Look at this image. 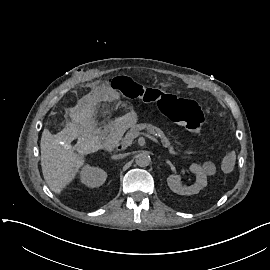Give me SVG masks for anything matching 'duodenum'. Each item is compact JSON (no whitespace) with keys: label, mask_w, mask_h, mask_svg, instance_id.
Masks as SVG:
<instances>
[{"label":"duodenum","mask_w":270,"mask_h":270,"mask_svg":"<svg viewBox=\"0 0 270 270\" xmlns=\"http://www.w3.org/2000/svg\"><path fill=\"white\" fill-rule=\"evenodd\" d=\"M125 126L124 121L117 120L107 127L104 134V147L106 150H113L118 145L125 130Z\"/></svg>","instance_id":"obj_1"}]
</instances>
